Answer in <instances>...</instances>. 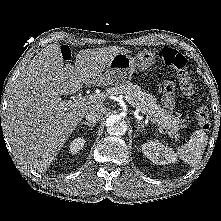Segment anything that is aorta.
<instances>
[{"mask_svg": "<svg viewBox=\"0 0 221 221\" xmlns=\"http://www.w3.org/2000/svg\"><path fill=\"white\" fill-rule=\"evenodd\" d=\"M107 132L113 136L124 135L128 129L127 123L118 115H111L106 120Z\"/></svg>", "mask_w": 221, "mask_h": 221, "instance_id": "aorta-1", "label": "aorta"}]
</instances>
